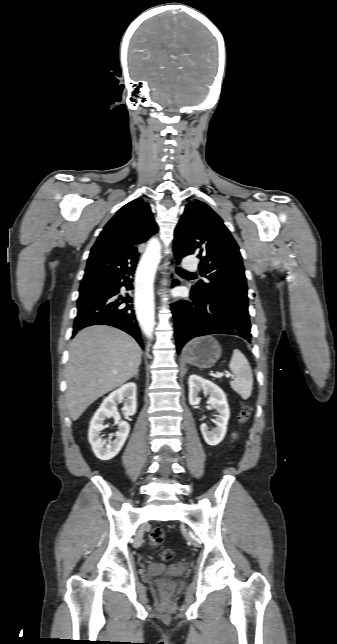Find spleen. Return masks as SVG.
<instances>
[{
  "mask_svg": "<svg viewBox=\"0 0 337 644\" xmlns=\"http://www.w3.org/2000/svg\"><path fill=\"white\" fill-rule=\"evenodd\" d=\"M229 368L235 375L230 382L231 388L243 399H248L252 393L253 376L249 362L240 350L233 351Z\"/></svg>",
  "mask_w": 337,
  "mask_h": 644,
  "instance_id": "spleen-1",
  "label": "spleen"
}]
</instances>
